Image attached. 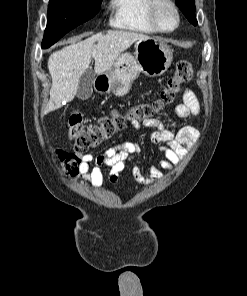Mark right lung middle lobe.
Returning <instances> with one entry per match:
<instances>
[{
	"mask_svg": "<svg viewBox=\"0 0 247 296\" xmlns=\"http://www.w3.org/2000/svg\"><path fill=\"white\" fill-rule=\"evenodd\" d=\"M102 0H49L48 22L42 48L56 43L68 31L93 18Z\"/></svg>",
	"mask_w": 247,
	"mask_h": 296,
	"instance_id": "1",
	"label": "right lung middle lobe"
}]
</instances>
